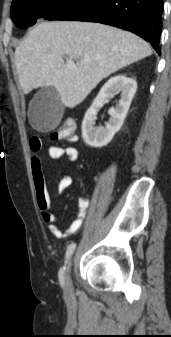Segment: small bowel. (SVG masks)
Segmentation results:
<instances>
[{
  "instance_id": "small-bowel-1",
  "label": "small bowel",
  "mask_w": 171,
  "mask_h": 337,
  "mask_svg": "<svg viewBox=\"0 0 171 337\" xmlns=\"http://www.w3.org/2000/svg\"><path fill=\"white\" fill-rule=\"evenodd\" d=\"M30 145L34 152L31 160L32 179L36 202L38 208L41 211L42 220L48 225V229L51 234L59 239H65L75 235L85 222L89 206V199L86 196H82L79 199L78 215L76 218L66 229L58 228L56 225L58 222V216L52 212V202L44 174L43 158L39 153L42 147V141L37 137H33L30 140ZM48 154L51 159H59L64 157L70 162H75L79 157V152L74 146L61 147L57 145H51L48 148ZM72 183L73 179L70 175L62 176L59 183L57 184V192H63L69 188Z\"/></svg>"
}]
</instances>
